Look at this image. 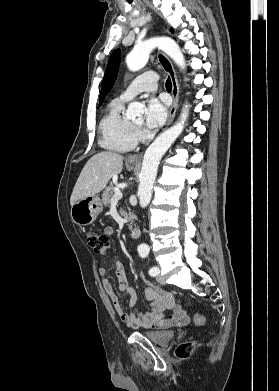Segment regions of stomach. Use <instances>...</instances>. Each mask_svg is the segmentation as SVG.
<instances>
[{"instance_id":"obj_1","label":"stomach","mask_w":279,"mask_h":391,"mask_svg":"<svg viewBox=\"0 0 279 391\" xmlns=\"http://www.w3.org/2000/svg\"><path fill=\"white\" fill-rule=\"evenodd\" d=\"M102 210V201L97 195L85 197L71 207V218L78 225H89Z\"/></svg>"}]
</instances>
